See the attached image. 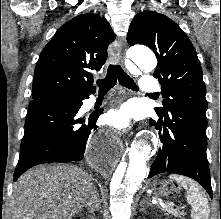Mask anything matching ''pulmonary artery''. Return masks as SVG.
<instances>
[{"label": "pulmonary artery", "mask_w": 221, "mask_h": 219, "mask_svg": "<svg viewBox=\"0 0 221 219\" xmlns=\"http://www.w3.org/2000/svg\"><path fill=\"white\" fill-rule=\"evenodd\" d=\"M140 88L145 94L156 95L161 90V84L154 76L143 75L141 77ZM95 101L96 97L91 100L92 103Z\"/></svg>", "instance_id": "e3ab8cb5"}]
</instances>
